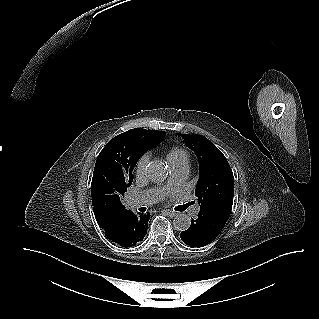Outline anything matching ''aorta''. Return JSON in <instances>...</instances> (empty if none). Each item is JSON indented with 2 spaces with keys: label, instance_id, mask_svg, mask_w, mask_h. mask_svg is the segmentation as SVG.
Here are the masks:
<instances>
[{
  "label": "aorta",
  "instance_id": "aorta-1",
  "mask_svg": "<svg viewBox=\"0 0 319 319\" xmlns=\"http://www.w3.org/2000/svg\"><path fill=\"white\" fill-rule=\"evenodd\" d=\"M147 177L153 182H162L167 177V167L161 161H151L145 168ZM191 219L186 214H178L173 220V226L180 230L185 231L190 228Z\"/></svg>",
  "mask_w": 319,
  "mask_h": 319
}]
</instances>
